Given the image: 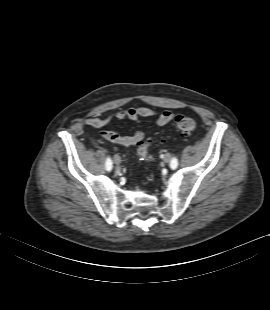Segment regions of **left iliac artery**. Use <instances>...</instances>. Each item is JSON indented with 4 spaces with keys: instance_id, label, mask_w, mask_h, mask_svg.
<instances>
[{
    "instance_id": "1",
    "label": "left iliac artery",
    "mask_w": 270,
    "mask_h": 310,
    "mask_svg": "<svg viewBox=\"0 0 270 310\" xmlns=\"http://www.w3.org/2000/svg\"><path fill=\"white\" fill-rule=\"evenodd\" d=\"M172 169H176L178 166V160L176 158H173L170 164Z\"/></svg>"
}]
</instances>
